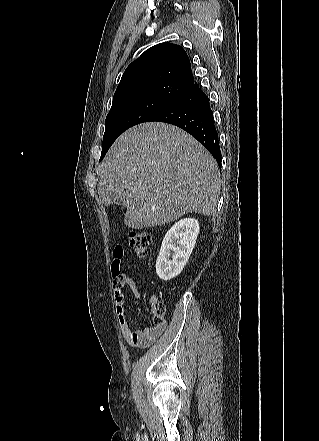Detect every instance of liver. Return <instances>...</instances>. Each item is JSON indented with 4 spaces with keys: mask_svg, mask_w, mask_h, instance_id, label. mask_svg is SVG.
<instances>
[{
    "mask_svg": "<svg viewBox=\"0 0 319 441\" xmlns=\"http://www.w3.org/2000/svg\"><path fill=\"white\" fill-rule=\"evenodd\" d=\"M213 156L182 129L146 122L114 142L100 168L98 194L105 206L126 208L124 223L142 229L186 213L212 215L220 193Z\"/></svg>",
    "mask_w": 319,
    "mask_h": 441,
    "instance_id": "1",
    "label": "liver"
}]
</instances>
